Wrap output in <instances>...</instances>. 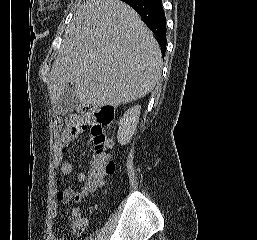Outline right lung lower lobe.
<instances>
[{"label":"right lung lower lobe","instance_id":"98d812e1","mask_svg":"<svg viewBox=\"0 0 257 240\" xmlns=\"http://www.w3.org/2000/svg\"><path fill=\"white\" fill-rule=\"evenodd\" d=\"M124 2L137 11L143 22L155 34L164 56L166 51V18L161 0H126Z\"/></svg>","mask_w":257,"mask_h":240}]
</instances>
